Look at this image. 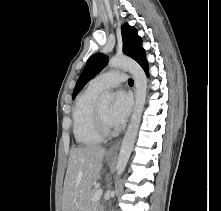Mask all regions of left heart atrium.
Masks as SVG:
<instances>
[{
  "label": "left heart atrium",
  "instance_id": "obj_1",
  "mask_svg": "<svg viewBox=\"0 0 221 211\" xmlns=\"http://www.w3.org/2000/svg\"><path fill=\"white\" fill-rule=\"evenodd\" d=\"M132 108V100L129 94L125 91H117L114 96V101L108 113V121L113 128L122 127Z\"/></svg>",
  "mask_w": 221,
  "mask_h": 211
}]
</instances>
